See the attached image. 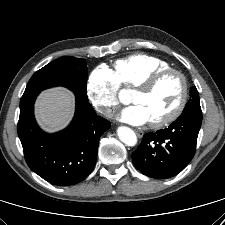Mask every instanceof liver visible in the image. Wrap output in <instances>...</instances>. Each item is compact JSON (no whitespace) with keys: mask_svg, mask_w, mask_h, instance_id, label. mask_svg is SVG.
<instances>
[{"mask_svg":"<svg viewBox=\"0 0 225 225\" xmlns=\"http://www.w3.org/2000/svg\"><path fill=\"white\" fill-rule=\"evenodd\" d=\"M75 109L74 94L64 88L55 87L41 92L35 104L38 124L47 132L65 128L71 121Z\"/></svg>","mask_w":225,"mask_h":225,"instance_id":"obj_1","label":"liver"}]
</instances>
